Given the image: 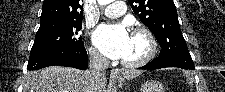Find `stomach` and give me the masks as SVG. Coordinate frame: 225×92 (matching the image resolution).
<instances>
[{"label": "stomach", "mask_w": 225, "mask_h": 92, "mask_svg": "<svg viewBox=\"0 0 225 92\" xmlns=\"http://www.w3.org/2000/svg\"><path fill=\"white\" fill-rule=\"evenodd\" d=\"M125 76L119 77L120 82H124ZM140 92H165L164 87L158 81H147L140 87Z\"/></svg>", "instance_id": "stomach-1"}]
</instances>
